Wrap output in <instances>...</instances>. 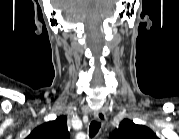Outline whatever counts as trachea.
Here are the masks:
<instances>
[{
	"mask_svg": "<svg viewBox=\"0 0 179 139\" xmlns=\"http://www.w3.org/2000/svg\"><path fill=\"white\" fill-rule=\"evenodd\" d=\"M101 127V123L98 121H92L89 126V137H94Z\"/></svg>",
	"mask_w": 179,
	"mask_h": 139,
	"instance_id": "trachea-1",
	"label": "trachea"
}]
</instances>
